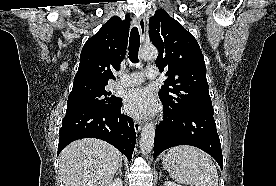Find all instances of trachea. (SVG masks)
<instances>
[{
  "instance_id": "3493384b",
  "label": "trachea",
  "mask_w": 276,
  "mask_h": 186,
  "mask_svg": "<svg viewBox=\"0 0 276 186\" xmlns=\"http://www.w3.org/2000/svg\"><path fill=\"white\" fill-rule=\"evenodd\" d=\"M140 47V36L138 29L133 27L129 39V59L132 63H138V51Z\"/></svg>"
}]
</instances>
